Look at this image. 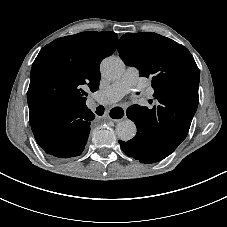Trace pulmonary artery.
<instances>
[{
  "mask_svg": "<svg viewBox=\"0 0 227 227\" xmlns=\"http://www.w3.org/2000/svg\"><path fill=\"white\" fill-rule=\"evenodd\" d=\"M143 93L153 94V83L145 78H140L136 67H128L124 74L111 85L100 89L93 94L94 100L102 105H111L129 93L133 87Z\"/></svg>",
  "mask_w": 227,
  "mask_h": 227,
  "instance_id": "obj_1",
  "label": "pulmonary artery"
}]
</instances>
